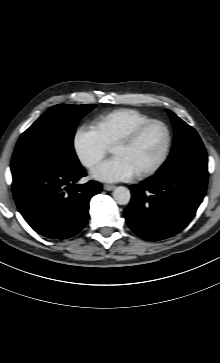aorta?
Instances as JSON below:
<instances>
[{
  "label": "aorta",
  "instance_id": "obj_1",
  "mask_svg": "<svg viewBox=\"0 0 220 363\" xmlns=\"http://www.w3.org/2000/svg\"><path fill=\"white\" fill-rule=\"evenodd\" d=\"M113 198L119 205H126L130 202V190L124 186L116 187L113 191Z\"/></svg>",
  "mask_w": 220,
  "mask_h": 363
}]
</instances>
